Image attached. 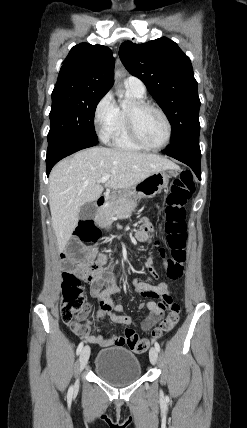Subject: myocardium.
Instances as JSON below:
<instances>
[{"instance_id":"obj_1","label":"myocardium","mask_w":247,"mask_h":428,"mask_svg":"<svg viewBox=\"0 0 247 428\" xmlns=\"http://www.w3.org/2000/svg\"><path fill=\"white\" fill-rule=\"evenodd\" d=\"M144 109L155 110L156 112H158L161 115V117L165 121V124L167 127L166 138L159 145H150V144L146 143L141 138L140 134L138 133V130L136 127V115H137V113H139L140 111H142ZM126 124H127L128 133H129L131 139L137 145H139L140 147H142L144 149L161 150V149L165 148L171 141L173 128H172V123H171L168 115L166 114V112L161 107H159L158 105L153 104L151 102L144 101V100L134 101L133 104L128 109H126Z\"/></svg>"}]
</instances>
